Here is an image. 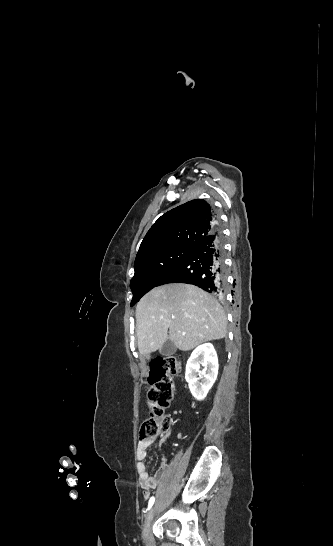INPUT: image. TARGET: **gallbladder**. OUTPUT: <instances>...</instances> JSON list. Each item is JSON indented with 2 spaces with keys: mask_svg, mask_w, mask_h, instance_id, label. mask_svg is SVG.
<instances>
[{
  "mask_svg": "<svg viewBox=\"0 0 333 546\" xmlns=\"http://www.w3.org/2000/svg\"><path fill=\"white\" fill-rule=\"evenodd\" d=\"M177 350L176 345L172 341H167L160 349L159 353L162 356H172Z\"/></svg>",
  "mask_w": 333,
  "mask_h": 546,
  "instance_id": "bac80fb5",
  "label": "gallbladder"
}]
</instances>
